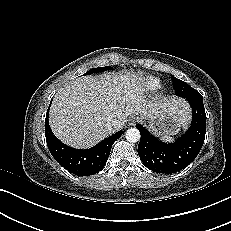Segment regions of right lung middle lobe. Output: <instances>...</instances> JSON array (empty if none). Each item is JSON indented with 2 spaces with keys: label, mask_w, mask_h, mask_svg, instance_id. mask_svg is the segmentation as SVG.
<instances>
[{
  "label": "right lung middle lobe",
  "mask_w": 231,
  "mask_h": 231,
  "mask_svg": "<svg viewBox=\"0 0 231 231\" xmlns=\"http://www.w3.org/2000/svg\"><path fill=\"white\" fill-rule=\"evenodd\" d=\"M110 69H112V67H110V66L93 68V69L89 70L88 72H86L84 75H88V74L96 73V72H101V71H105V70H110Z\"/></svg>",
  "instance_id": "right-lung-middle-lobe-1"
}]
</instances>
